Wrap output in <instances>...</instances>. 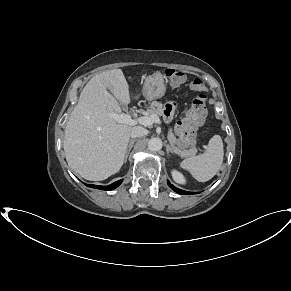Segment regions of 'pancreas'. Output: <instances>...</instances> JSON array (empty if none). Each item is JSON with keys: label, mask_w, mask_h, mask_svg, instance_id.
<instances>
[{"label": "pancreas", "mask_w": 291, "mask_h": 291, "mask_svg": "<svg viewBox=\"0 0 291 291\" xmlns=\"http://www.w3.org/2000/svg\"><path fill=\"white\" fill-rule=\"evenodd\" d=\"M147 114L148 115H157V116H162L163 115V104L157 101H153L150 106L147 109ZM168 140L171 143V145L174 147L178 155L182 157H187L190 155H194L196 153V149L194 147L190 149H182L178 148L175 146L176 143V137L172 133V129H169L168 131Z\"/></svg>", "instance_id": "1"}]
</instances>
